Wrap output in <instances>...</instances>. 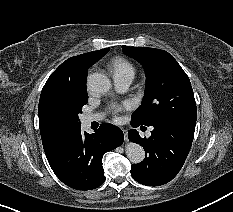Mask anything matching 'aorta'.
<instances>
[{
    "mask_svg": "<svg viewBox=\"0 0 233 212\" xmlns=\"http://www.w3.org/2000/svg\"><path fill=\"white\" fill-rule=\"evenodd\" d=\"M87 86L90 91L97 94H105L112 87L110 79L102 73H93L88 76ZM126 155L133 164L140 163L145 158V151L142 146L136 143H128Z\"/></svg>",
    "mask_w": 233,
    "mask_h": 212,
    "instance_id": "aorta-1",
    "label": "aorta"
}]
</instances>
